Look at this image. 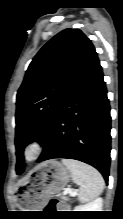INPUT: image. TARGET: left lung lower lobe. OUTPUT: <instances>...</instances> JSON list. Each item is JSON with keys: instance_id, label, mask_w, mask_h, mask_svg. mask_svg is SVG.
Returning <instances> with one entry per match:
<instances>
[{"instance_id": "obj_1", "label": "left lung lower lobe", "mask_w": 123, "mask_h": 219, "mask_svg": "<svg viewBox=\"0 0 123 219\" xmlns=\"http://www.w3.org/2000/svg\"><path fill=\"white\" fill-rule=\"evenodd\" d=\"M111 116L99 59L78 78L62 103L37 162L68 158L95 167L108 181Z\"/></svg>"}]
</instances>
